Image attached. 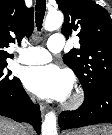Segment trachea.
Wrapping results in <instances>:
<instances>
[{
  "instance_id": "3493384b",
  "label": "trachea",
  "mask_w": 112,
  "mask_h": 135,
  "mask_svg": "<svg viewBox=\"0 0 112 135\" xmlns=\"http://www.w3.org/2000/svg\"><path fill=\"white\" fill-rule=\"evenodd\" d=\"M35 10H36V13H35L36 27L38 31H40L42 28L43 19H44L45 10H46V0H37Z\"/></svg>"
}]
</instances>
